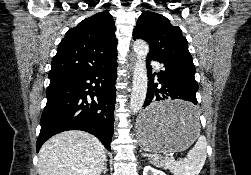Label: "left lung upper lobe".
<instances>
[{"mask_svg": "<svg viewBox=\"0 0 251 175\" xmlns=\"http://www.w3.org/2000/svg\"><path fill=\"white\" fill-rule=\"evenodd\" d=\"M143 39L149 43L148 55L161 57L167 63L182 65L195 70L187 40L179 27L155 12L143 11L133 31V39Z\"/></svg>", "mask_w": 251, "mask_h": 175, "instance_id": "obj_1", "label": "left lung upper lobe"}]
</instances>
